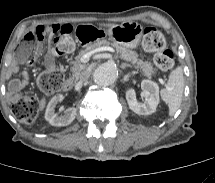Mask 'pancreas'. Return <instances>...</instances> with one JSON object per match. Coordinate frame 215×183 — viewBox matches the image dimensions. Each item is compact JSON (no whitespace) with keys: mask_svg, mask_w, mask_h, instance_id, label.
I'll return each mask as SVG.
<instances>
[{"mask_svg":"<svg viewBox=\"0 0 215 183\" xmlns=\"http://www.w3.org/2000/svg\"><path fill=\"white\" fill-rule=\"evenodd\" d=\"M101 46H111V47L116 48L117 52L120 54V57L122 59L131 62L136 68H140L142 70L143 74L148 78H150L151 75L155 71L150 62L138 59L137 54L134 51L129 50L123 46H120L119 44H117L115 42H109L107 40H100V41H97V42L87 46L86 49L82 50L75 57V60L72 62V67H71L73 79H79L82 71L86 68V65L82 64L80 62V58L87 52H90Z\"/></svg>","mask_w":215,"mask_h":183,"instance_id":"cf45deb5","label":"pancreas"}]
</instances>
